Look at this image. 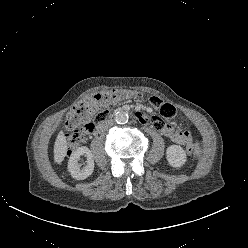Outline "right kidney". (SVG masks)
<instances>
[{
	"label": "right kidney",
	"mask_w": 248,
	"mask_h": 248,
	"mask_svg": "<svg viewBox=\"0 0 248 248\" xmlns=\"http://www.w3.org/2000/svg\"><path fill=\"white\" fill-rule=\"evenodd\" d=\"M84 155L87 158L86 165L82 169L79 164L80 157ZM94 159L90 149L86 146L78 147L70 156L68 161V171L71 176L77 180L88 178L94 171Z\"/></svg>",
	"instance_id": "obj_1"
}]
</instances>
